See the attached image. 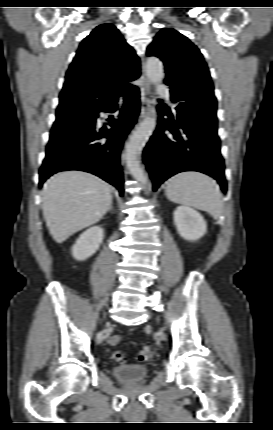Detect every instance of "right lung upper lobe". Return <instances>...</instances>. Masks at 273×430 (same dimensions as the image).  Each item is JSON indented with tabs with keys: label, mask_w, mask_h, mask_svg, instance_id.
<instances>
[{
	"label": "right lung upper lobe",
	"mask_w": 273,
	"mask_h": 430,
	"mask_svg": "<svg viewBox=\"0 0 273 430\" xmlns=\"http://www.w3.org/2000/svg\"><path fill=\"white\" fill-rule=\"evenodd\" d=\"M139 59L110 23L96 27L80 44L60 93L59 107L81 102L90 107L135 87Z\"/></svg>",
	"instance_id": "obj_1"
}]
</instances>
